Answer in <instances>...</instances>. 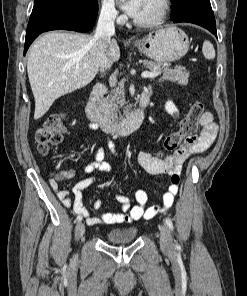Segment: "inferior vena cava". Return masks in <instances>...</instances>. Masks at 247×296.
Returning <instances> with one entry per match:
<instances>
[{
  "instance_id": "inferior-vena-cava-1",
  "label": "inferior vena cava",
  "mask_w": 247,
  "mask_h": 296,
  "mask_svg": "<svg viewBox=\"0 0 247 296\" xmlns=\"http://www.w3.org/2000/svg\"><path fill=\"white\" fill-rule=\"evenodd\" d=\"M116 15L117 12L112 7L103 8L100 13L95 35L105 44H109L111 36L115 34L114 20Z\"/></svg>"
}]
</instances>
